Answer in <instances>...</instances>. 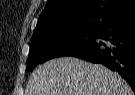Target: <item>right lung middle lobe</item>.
I'll return each instance as SVG.
<instances>
[{"instance_id":"obj_1","label":"right lung middle lobe","mask_w":135,"mask_h":95,"mask_svg":"<svg viewBox=\"0 0 135 95\" xmlns=\"http://www.w3.org/2000/svg\"><path fill=\"white\" fill-rule=\"evenodd\" d=\"M95 31L80 30L32 37L26 71L52 58L72 56L93 42Z\"/></svg>"}]
</instances>
